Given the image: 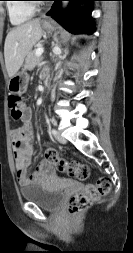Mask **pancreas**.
I'll return each instance as SVG.
<instances>
[{
  "label": "pancreas",
  "instance_id": "cf45deb5",
  "mask_svg": "<svg viewBox=\"0 0 133 253\" xmlns=\"http://www.w3.org/2000/svg\"><path fill=\"white\" fill-rule=\"evenodd\" d=\"M35 53H36V50L34 49V50L29 51V53L27 54L25 68L28 70L34 69V67L38 65L40 61L42 60V57L36 56Z\"/></svg>",
  "mask_w": 133,
  "mask_h": 253
}]
</instances>
